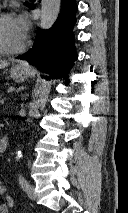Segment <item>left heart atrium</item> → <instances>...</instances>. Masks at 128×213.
<instances>
[{
  "label": "left heart atrium",
  "instance_id": "left-heart-atrium-1",
  "mask_svg": "<svg viewBox=\"0 0 128 213\" xmlns=\"http://www.w3.org/2000/svg\"><path fill=\"white\" fill-rule=\"evenodd\" d=\"M14 26L21 37L22 40H25L28 29H29V22L25 14H19L13 18Z\"/></svg>",
  "mask_w": 128,
  "mask_h": 213
}]
</instances>
